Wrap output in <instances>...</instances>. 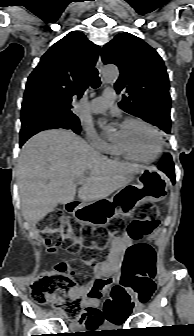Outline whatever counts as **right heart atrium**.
Returning <instances> with one entry per match:
<instances>
[{"instance_id":"d8ad5b80","label":"right heart atrium","mask_w":194,"mask_h":336,"mask_svg":"<svg viewBox=\"0 0 194 336\" xmlns=\"http://www.w3.org/2000/svg\"><path fill=\"white\" fill-rule=\"evenodd\" d=\"M86 138L94 150L106 153L109 151L110 144L99 136L91 127L86 128Z\"/></svg>"}]
</instances>
